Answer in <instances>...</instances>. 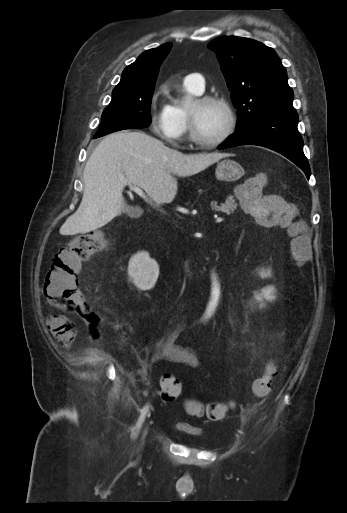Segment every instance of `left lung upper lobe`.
<instances>
[{
  "mask_svg": "<svg viewBox=\"0 0 347 513\" xmlns=\"http://www.w3.org/2000/svg\"><path fill=\"white\" fill-rule=\"evenodd\" d=\"M221 64L231 99L238 109L236 131L270 114H291L293 91L276 52L247 38L221 36L209 43Z\"/></svg>",
  "mask_w": 347,
  "mask_h": 513,
  "instance_id": "left-lung-upper-lobe-1",
  "label": "left lung upper lobe"
}]
</instances>
